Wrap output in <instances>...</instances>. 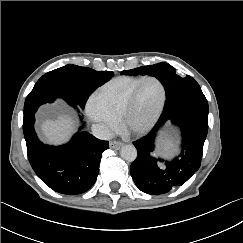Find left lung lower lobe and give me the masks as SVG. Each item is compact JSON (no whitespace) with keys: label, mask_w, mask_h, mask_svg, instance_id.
<instances>
[{"label":"left lung lower lobe","mask_w":243,"mask_h":243,"mask_svg":"<svg viewBox=\"0 0 243 243\" xmlns=\"http://www.w3.org/2000/svg\"><path fill=\"white\" fill-rule=\"evenodd\" d=\"M171 121L181 130V152L172 160L154 158L159 130ZM208 132V103L202 91L187 94L164 107L158 123L133 142L137 158L130 167L136 186L147 194H164L184 184L200 167ZM164 163V164H162Z\"/></svg>","instance_id":"1"}]
</instances>
